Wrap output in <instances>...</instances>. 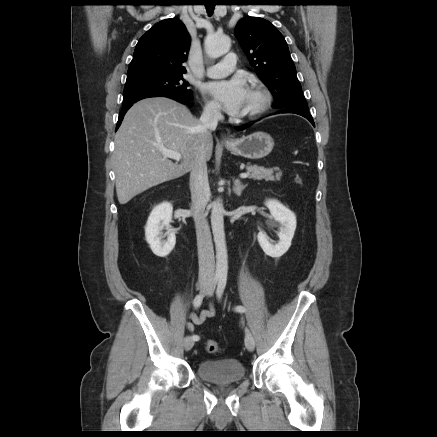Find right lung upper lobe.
I'll return each mask as SVG.
<instances>
[{
	"instance_id": "right-lung-upper-lobe-1",
	"label": "right lung upper lobe",
	"mask_w": 437,
	"mask_h": 437,
	"mask_svg": "<svg viewBox=\"0 0 437 437\" xmlns=\"http://www.w3.org/2000/svg\"><path fill=\"white\" fill-rule=\"evenodd\" d=\"M190 43V35L179 19L162 20L139 39L127 73H186L183 63L187 60Z\"/></svg>"
}]
</instances>
